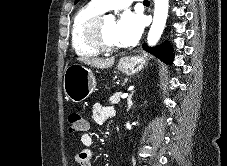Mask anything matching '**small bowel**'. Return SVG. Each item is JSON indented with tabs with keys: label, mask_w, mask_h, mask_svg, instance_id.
Here are the masks:
<instances>
[{
	"label": "small bowel",
	"mask_w": 227,
	"mask_h": 166,
	"mask_svg": "<svg viewBox=\"0 0 227 166\" xmlns=\"http://www.w3.org/2000/svg\"><path fill=\"white\" fill-rule=\"evenodd\" d=\"M92 112L94 121L98 124H102L115 115V108L112 106H104L101 103H95L92 107ZM81 142L86 148L76 154L75 160L79 166H92L93 152L89 147L94 145V138L91 134L84 133L81 136Z\"/></svg>",
	"instance_id": "small-bowel-1"
}]
</instances>
